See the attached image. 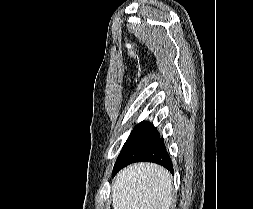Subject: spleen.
Here are the masks:
<instances>
[{
  "label": "spleen",
  "instance_id": "obj_1",
  "mask_svg": "<svg viewBox=\"0 0 253 209\" xmlns=\"http://www.w3.org/2000/svg\"><path fill=\"white\" fill-rule=\"evenodd\" d=\"M172 177L163 167L140 163L120 172L112 186L114 209H169Z\"/></svg>",
  "mask_w": 253,
  "mask_h": 209
}]
</instances>
